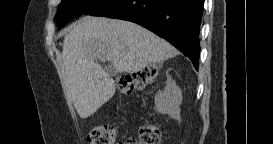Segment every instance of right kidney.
I'll return each mask as SVG.
<instances>
[{"label":"right kidney","mask_w":273,"mask_h":144,"mask_svg":"<svg viewBox=\"0 0 273 144\" xmlns=\"http://www.w3.org/2000/svg\"><path fill=\"white\" fill-rule=\"evenodd\" d=\"M181 103L182 92L175 83L167 84L164 91L158 92L155 96V105L157 111L161 114H167L177 121H181Z\"/></svg>","instance_id":"ca27d5eb"}]
</instances>
